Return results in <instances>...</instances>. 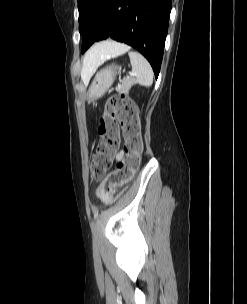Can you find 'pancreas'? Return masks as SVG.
I'll list each match as a JSON object with an SVG mask.
<instances>
[{
    "label": "pancreas",
    "mask_w": 247,
    "mask_h": 304,
    "mask_svg": "<svg viewBox=\"0 0 247 304\" xmlns=\"http://www.w3.org/2000/svg\"><path fill=\"white\" fill-rule=\"evenodd\" d=\"M133 83V79H123L121 85L116 87V91L119 93H127Z\"/></svg>",
    "instance_id": "1"
}]
</instances>
